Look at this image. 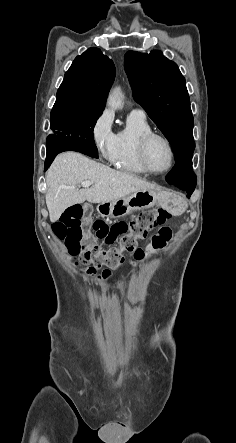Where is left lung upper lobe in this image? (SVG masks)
I'll use <instances>...</instances> for the list:
<instances>
[{"instance_id": "1", "label": "left lung upper lobe", "mask_w": 236, "mask_h": 443, "mask_svg": "<svg viewBox=\"0 0 236 443\" xmlns=\"http://www.w3.org/2000/svg\"><path fill=\"white\" fill-rule=\"evenodd\" d=\"M124 67L134 99L170 142L175 160L192 154L194 120L185 78L176 63L161 51H129Z\"/></svg>"}]
</instances>
